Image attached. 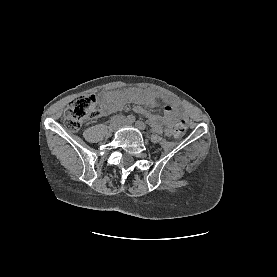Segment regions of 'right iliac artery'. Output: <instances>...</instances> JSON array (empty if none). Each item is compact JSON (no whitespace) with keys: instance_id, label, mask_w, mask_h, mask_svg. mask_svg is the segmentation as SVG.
I'll return each mask as SVG.
<instances>
[{"instance_id":"right-iliac-artery-1","label":"right iliac artery","mask_w":277,"mask_h":277,"mask_svg":"<svg viewBox=\"0 0 277 277\" xmlns=\"http://www.w3.org/2000/svg\"><path fill=\"white\" fill-rule=\"evenodd\" d=\"M127 122L128 123H134L135 122V117L133 115H129L127 116Z\"/></svg>"}]
</instances>
